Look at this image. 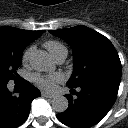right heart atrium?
<instances>
[{"label": "right heart atrium", "mask_w": 128, "mask_h": 128, "mask_svg": "<svg viewBox=\"0 0 128 128\" xmlns=\"http://www.w3.org/2000/svg\"><path fill=\"white\" fill-rule=\"evenodd\" d=\"M34 52V46H29L22 55V62L27 64L30 61V58Z\"/></svg>", "instance_id": "obj_1"}]
</instances>
